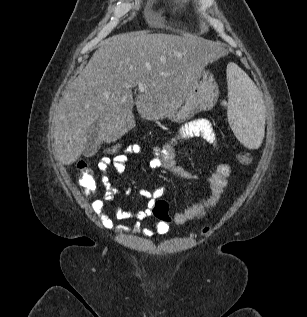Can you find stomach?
I'll return each instance as SVG.
<instances>
[{
	"instance_id": "1",
	"label": "stomach",
	"mask_w": 307,
	"mask_h": 317,
	"mask_svg": "<svg viewBox=\"0 0 307 317\" xmlns=\"http://www.w3.org/2000/svg\"><path fill=\"white\" fill-rule=\"evenodd\" d=\"M218 94V86L213 76L202 69L192 76L191 84L180 105L166 117L174 122H183L197 112L211 109Z\"/></svg>"
}]
</instances>
